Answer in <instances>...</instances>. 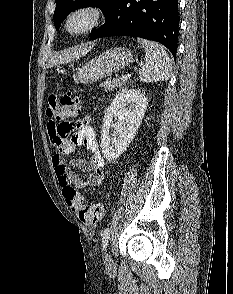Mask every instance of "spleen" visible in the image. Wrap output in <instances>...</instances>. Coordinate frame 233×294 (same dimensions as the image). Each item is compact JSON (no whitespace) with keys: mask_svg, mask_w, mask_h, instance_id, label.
I'll return each instance as SVG.
<instances>
[{"mask_svg":"<svg viewBox=\"0 0 233 294\" xmlns=\"http://www.w3.org/2000/svg\"><path fill=\"white\" fill-rule=\"evenodd\" d=\"M145 50V65L139 70V79L151 83L168 80L171 77V60L164 47L159 43L138 38Z\"/></svg>","mask_w":233,"mask_h":294,"instance_id":"obj_1","label":"spleen"}]
</instances>
